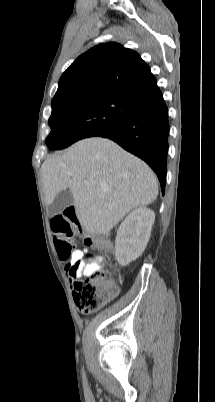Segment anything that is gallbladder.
Instances as JSON below:
<instances>
[{
	"label": "gallbladder",
	"instance_id": "1",
	"mask_svg": "<svg viewBox=\"0 0 215 402\" xmlns=\"http://www.w3.org/2000/svg\"><path fill=\"white\" fill-rule=\"evenodd\" d=\"M74 204V198L70 191L63 190L57 194L53 202L49 205L50 215H55Z\"/></svg>",
	"mask_w": 215,
	"mask_h": 402
}]
</instances>
